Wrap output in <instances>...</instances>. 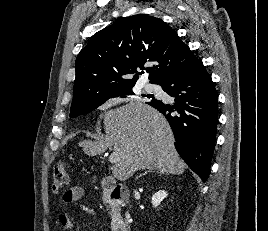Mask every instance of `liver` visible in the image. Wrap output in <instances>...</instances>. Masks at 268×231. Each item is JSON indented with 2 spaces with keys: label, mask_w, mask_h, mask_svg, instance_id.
<instances>
[{
  "label": "liver",
  "mask_w": 268,
  "mask_h": 231,
  "mask_svg": "<svg viewBox=\"0 0 268 231\" xmlns=\"http://www.w3.org/2000/svg\"><path fill=\"white\" fill-rule=\"evenodd\" d=\"M105 136L98 141L79 143L86 154L96 156L113 149L119 161L112 168L120 181L143 169L160 173L182 174L186 164L174 147L173 132L156 109L139 100L109 110L104 114Z\"/></svg>",
  "instance_id": "6515ba94"
}]
</instances>
